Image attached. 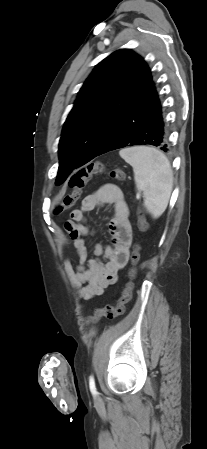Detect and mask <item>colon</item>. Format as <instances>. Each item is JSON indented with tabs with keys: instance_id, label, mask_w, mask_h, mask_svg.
<instances>
[{
	"instance_id": "obj_1",
	"label": "colon",
	"mask_w": 207,
	"mask_h": 449,
	"mask_svg": "<svg viewBox=\"0 0 207 449\" xmlns=\"http://www.w3.org/2000/svg\"><path fill=\"white\" fill-rule=\"evenodd\" d=\"M105 171H106L105 166L100 161L91 163L77 170L70 177L69 180V187L71 188V191L63 196L61 203L57 208V212H63L67 209L72 208L76 204L77 200L80 198L82 190L86 186L87 182L93 176L100 175ZM108 175L111 178L121 182H124L126 180L125 173L119 168H115L108 171ZM137 214L139 224L141 226H144V211L141 207L138 209ZM140 251H141L140 246L136 244L131 254V268L129 270V281L126 283L122 295L119 298L116 305H106L103 308L97 309L93 315L87 317L86 319L87 325L95 323L102 318L113 320L124 314L125 307L132 298V292L134 289L133 281L137 274V265L140 260Z\"/></svg>"
}]
</instances>
